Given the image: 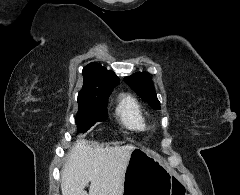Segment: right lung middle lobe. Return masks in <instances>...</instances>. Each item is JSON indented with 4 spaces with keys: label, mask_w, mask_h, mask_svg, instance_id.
<instances>
[{
    "label": "right lung middle lobe",
    "mask_w": 240,
    "mask_h": 195,
    "mask_svg": "<svg viewBox=\"0 0 240 195\" xmlns=\"http://www.w3.org/2000/svg\"><path fill=\"white\" fill-rule=\"evenodd\" d=\"M79 109L76 116L78 132H85L95 123L107 119V100H81L78 101Z\"/></svg>",
    "instance_id": "dd1d6c3e"
}]
</instances>
